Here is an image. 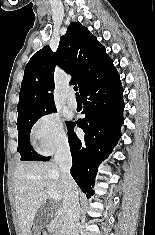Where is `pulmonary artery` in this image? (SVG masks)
<instances>
[{"instance_id": "e3ab8cb5", "label": "pulmonary artery", "mask_w": 155, "mask_h": 235, "mask_svg": "<svg viewBox=\"0 0 155 235\" xmlns=\"http://www.w3.org/2000/svg\"><path fill=\"white\" fill-rule=\"evenodd\" d=\"M67 104L71 109H75L77 107V100L71 90L68 93Z\"/></svg>"}]
</instances>
